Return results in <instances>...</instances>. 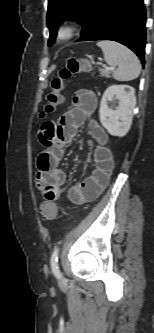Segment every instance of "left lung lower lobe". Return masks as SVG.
Returning a JSON list of instances; mask_svg holds the SVG:
<instances>
[{"label": "left lung lower lobe", "instance_id": "left-lung-lower-lobe-1", "mask_svg": "<svg viewBox=\"0 0 154 333\" xmlns=\"http://www.w3.org/2000/svg\"><path fill=\"white\" fill-rule=\"evenodd\" d=\"M77 41L113 40L130 48L144 65L146 13L143 0H97ZM52 38L49 39V45Z\"/></svg>", "mask_w": 154, "mask_h": 333}]
</instances>
